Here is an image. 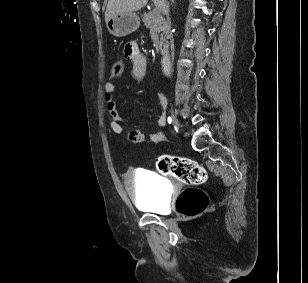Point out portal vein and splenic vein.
Segmentation results:
<instances>
[{
    "instance_id": "portal-vein-and-splenic-vein-1",
    "label": "portal vein and splenic vein",
    "mask_w": 308,
    "mask_h": 283,
    "mask_svg": "<svg viewBox=\"0 0 308 283\" xmlns=\"http://www.w3.org/2000/svg\"><path fill=\"white\" fill-rule=\"evenodd\" d=\"M159 10H161V5L160 4L156 5V10H154V11H159Z\"/></svg>"
}]
</instances>
